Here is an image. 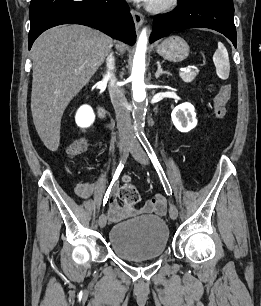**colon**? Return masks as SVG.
<instances>
[{"mask_svg": "<svg viewBox=\"0 0 261 306\" xmlns=\"http://www.w3.org/2000/svg\"><path fill=\"white\" fill-rule=\"evenodd\" d=\"M232 94V87L230 84H223L217 94L213 98V110L217 118H225L227 115V102L229 101ZM87 143L84 139H77L72 142L68 147V154L70 156H76L86 150ZM119 199L122 203V208L130 213L133 212L135 206L140 200V195L136 187L126 181L119 191Z\"/></svg>", "mask_w": 261, "mask_h": 306, "instance_id": "5ec220e1", "label": "colon"}]
</instances>
